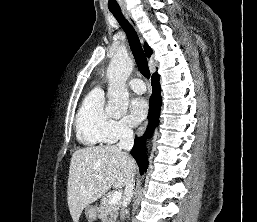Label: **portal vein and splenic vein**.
I'll list each match as a JSON object with an SVG mask.
<instances>
[{"label": "portal vein and splenic vein", "instance_id": "18ae733b", "mask_svg": "<svg viewBox=\"0 0 257 222\" xmlns=\"http://www.w3.org/2000/svg\"><path fill=\"white\" fill-rule=\"evenodd\" d=\"M122 198V194L120 192H114L110 198L108 199V203H118Z\"/></svg>", "mask_w": 257, "mask_h": 222}]
</instances>
